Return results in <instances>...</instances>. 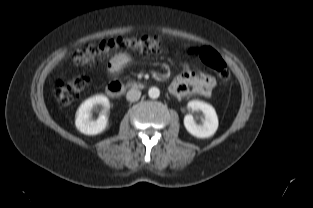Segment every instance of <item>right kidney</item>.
<instances>
[{"mask_svg": "<svg viewBox=\"0 0 313 208\" xmlns=\"http://www.w3.org/2000/svg\"><path fill=\"white\" fill-rule=\"evenodd\" d=\"M101 106L102 111L97 120H92V109ZM109 100L104 95H96L85 100L77 110L75 125L85 135H97L104 132L109 125Z\"/></svg>", "mask_w": 313, "mask_h": 208, "instance_id": "obj_1", "label": "right kidney"}]
</instances>
